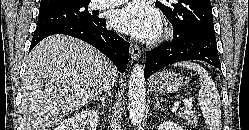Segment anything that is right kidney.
Returning <instances> with one entry per match:
<instances>
[{"instance_id": "obj_1", "label": "right kidney", "mask_w": 249, "mask_h": 130, "mask_svg": "<svg viewBox=\"0 0 249 130\" xmlns=\"http://www.w3.org/2000/svg\"><path fill=\"white\" fill-rule=\"evenodd\" d=\"M97 124V112L93 109H86L75 116L65 119L55 130H96Z\"/></svg>"}]
</instances>
